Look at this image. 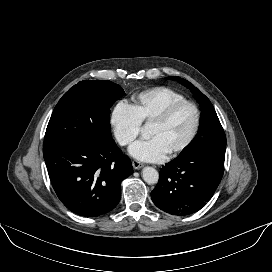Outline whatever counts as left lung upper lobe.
<instances>
[{
	"label": "left lung upper lobe",
	"mask_w": 272,
	"mask_h": 272,
	"mask_svg": "<svg viewBox=\"0 0 272 272\" xmlns=\"http://www.w3.org/2000/svg\"><path fill=\"white\" fill-rule=\"evenodd\" d=\"M169 78L189 88L201 110L198 133L180 155L201 154L225 160L226 136L210 100L187 80L180 77Z\"/></svg>",
	"instance_id": "5c2ea615"
}]
</instances>
